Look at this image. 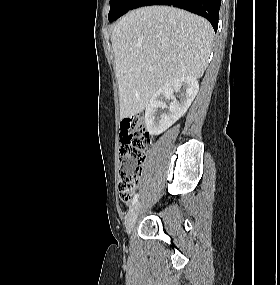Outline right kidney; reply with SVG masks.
<instances>
[{"mask_svg": "<svg viewBox=\"0 0 280 285\" xmlns=\"http://www.w3.org/2000/svg\"><path fill=\"white\" fill-rule=\"evenodd\" d=\"M181 87L185 90L180 96V100L174 98V91H180ZM199 90V84L196 78L191 76H183L177 78L163 87H161L150 99L145 110V125L148 132L152 135H160L171 127L179 118H181ZM164 99H171L168 111L164 112L160 117L155 115L158 108H167Z\"/></svg>", "mask_w": 280, "mask_h": 285, "instance_id": "right-kidney-1", "label": "right kidney"}]
</instances>
